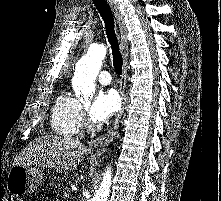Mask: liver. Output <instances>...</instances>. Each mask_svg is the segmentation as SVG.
<instances>
[{
	"label": "liver",
	"mask_w": 221,
	"mask_h": 201,
	"mask_svg": "<svg viewBox=\"0 0 221 201\" xmlns=\"http://www.w3.org/2000/svg\"><path fill=\"white\" fill-rule=\"evenodd\" d=\"M89 149L80 141L66 136L46 135L28 144L15 164L71 170L83 160Z\"/></svg>",
	"instance_id": "liver-1"
}]
</instances>
